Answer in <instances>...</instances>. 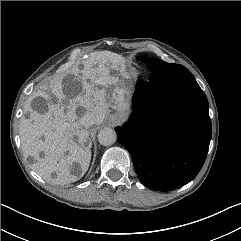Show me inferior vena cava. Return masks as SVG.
Instances as JSON below:
<instances>
[{"instance_id": "obj_1", "label": "inferior vena cava", "mask_w": 241, "mask_h": 241, "mask_svg": "<svg viewBox=\"0 0 241 241\" xmlns=\"http://www.w3.org/2000/svg\"><path fill=\"white\" fill-rule=\"evenodd\" d=\"M79 123L83 127L89 128L95 124V115L92 112H85L84 115L79 119Z\"/></svg>"}]
</instances>
